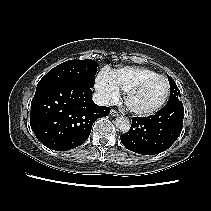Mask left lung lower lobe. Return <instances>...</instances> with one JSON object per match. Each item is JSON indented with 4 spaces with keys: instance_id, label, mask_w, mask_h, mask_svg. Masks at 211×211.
Masks as SVG:
<instances>
[{
    "instance_id": "1",
    "label": "left lung lower lobe",
    "mask_w": 211,
    "mask_h": 211,
    "mask_svg": "<svg viewBox=\"0 0 211 211\" xmlns=\"http://www.w3.org/2000/svg\"><path fill=\"white\" fill-rule=\"evenodd\" d=\"M184 118L181 101L167 103L155 115L134 117L130 130L120 136L129 150L154 155L167 150L179 137Z\"/></svg>"
}]
</instances>
